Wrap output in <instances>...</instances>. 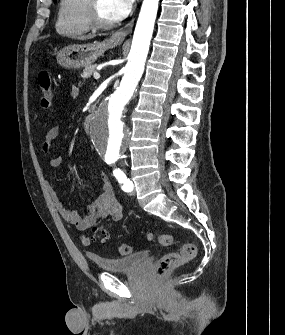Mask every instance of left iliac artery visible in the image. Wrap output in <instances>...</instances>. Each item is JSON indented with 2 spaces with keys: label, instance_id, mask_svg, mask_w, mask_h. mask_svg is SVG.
<instances>
[{
  "label": "left iliac artery",
  "instance_id": "1",
  "mask_svg": "<svg viewBox=\"0 0 285 335\" xmlns=\"http://www.w3.org/2000/svg\"><path fill=\"white\" fill-rule=\"evenodd\" d=\"M114 176L122 185V190L125 192H131L133 190V183L130 181L126 175L119 168L113 171Z\"/></svg>",
  "mask_w": 285,
  "mask_h": 335
}]
</instances>
